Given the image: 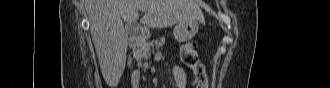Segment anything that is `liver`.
<instances>
[{"label": "liver", "mask_w": 330, "mask_h": 88, "mask_svg": "<svg viewBox=\"0 0 330 88\" xmlns=\"http://www.w3.org/2000/svg\"><path fill=\"white\" fill-rule=\"evenodd\" d=\"M90 32L105 82L118 85L126 64L128 29L139 10L145 9L140 24L165 28L184 21H203L204 15L194 0H86Z\"/></svg>", "instance_id": "1"}]
</instances>
